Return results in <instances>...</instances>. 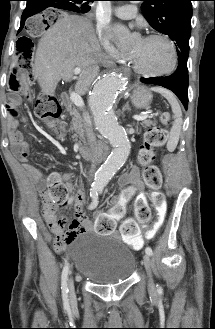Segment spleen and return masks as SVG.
Here are the masks:
<instances>
[{
	"label": "spleen",
	"mask_w": 215,
	"mask_h": 329,
	"mask_svg": "<svg viewBox=\"0 0 215 329\" xmlns=\"http://www.w3.org/2000/svg\"><path fill=\"white\" fill-rule=\"evenodd\" d=\"M151 90L154 92L160 93L162 96H164L167 99V101L171 105L174 122L172 124V128L170 131V139H169L167 148L170 152H172L175 150V148L178 144L179 136H180L181 128H182L183 121H182V111H181L180 105L178 103L177 98L171 91L166 90L164 88H160V87H153V88H151Z\"/></svg>",
	"instance_id": "1"
}]
</instances>
